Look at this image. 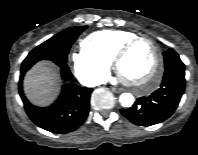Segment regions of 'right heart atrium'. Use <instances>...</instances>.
<instances>
[{
	"label": "right heart atrium",
	"mask_w": 198,
	"mask_h": 155,
	"mask_svg": "<svg viewBox=\"0 0 198 155\" xmlns=\"http://www.w3.org/2000/svg\"><path fill=\"white\" fill-rule=\"evenodd\" d=\"M69 59L76 77L85 84H99L108 75L110 63L90 52L84 46L73 49L70 52Z\"/></svg>",
	"instance_id": "obj_1"
}]
</instances>
